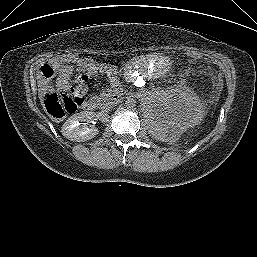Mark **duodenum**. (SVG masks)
Listing matches in <instances>:
<instances>
[{
  "instance_id": "1",
  "label": "duodenum",
  "mask_w": 257,
  "mask_h": 257,
  "mask_svg": "<svg viewBox=\"0 0 257 257\" xmlns=\"http://www.w3.org/2000/svg\"><path fill=\"white\" fill-rule=\"evenodd\" d=\"M122 99V94L120 93V91H115L109 98L110 101L112 102H118ZM85 110L87 112H92L96 109V104L94 101H89L85 104L84 106Z\"/></svg>"
}]
</instances>
